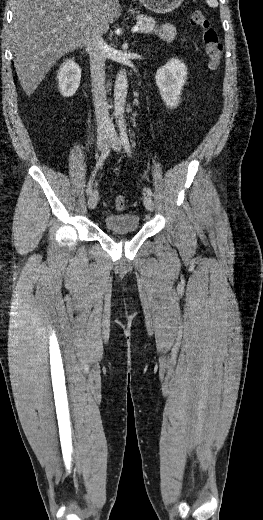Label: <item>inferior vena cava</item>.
Wrapping results in <instances>:
<instances>
[{"label": "inferior vena cava", "mask_w": 263, "mask_h": 520, "mask_svg": "<svg viewBox=\"0 0 263 520\" xmlns=\"http://www.w3.org/2000/svg\"><path fill=\"white\" fill-rule=\"evenodd\" d=\"M107 44L98 29H94L87 42L90 56L91 85L98 133L112 130L105 88V59Z\"/></svg>", "instance_id": "inferior-vena-cava-1"}]
</instances>
